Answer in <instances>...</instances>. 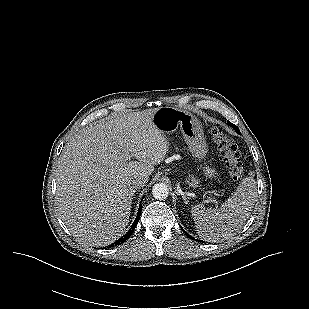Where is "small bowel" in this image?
Returning <instances> with one entry per match:
<instances>
[{"label":"small bowel","instance_id":"c3829d8e","mask_svg":"<svg viewBox=\"0 0 309 309\" xmlns=\"http://www.w3.org/2000/svg\"><path fill=\"white\" fill-rule=\"evenodd\" d=\"M207 174L210 176V177H215L216 176V172L214 169H211V168H208L206 170Z\"/></svg>","mask_w":309,"mask_h":309}]
</instances>
